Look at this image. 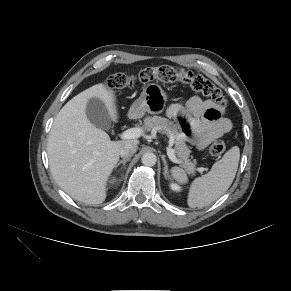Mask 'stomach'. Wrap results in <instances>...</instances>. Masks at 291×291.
Returning <instances> with one entry per match:
<instances>
[{"label":"stomach","instance_id":"obj_1","mask_svg":"<svg viewBox=\"0 0 291 291\" xmlns=\"http://www.w3.org/2000/svg\"><path fill=\"white\" fill-rule=\"evenodd\" d=\"M166 92L155 83L148 84L142 91L140 97L134 101L130 108V115L139 118L146 112L160 114L167 103Z\"/></svg>","mask_w":291,"mask_h":291}]
</instances>
